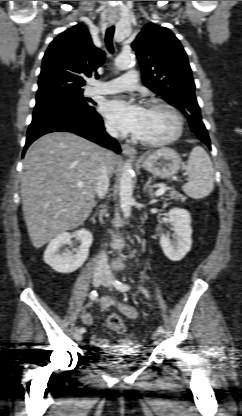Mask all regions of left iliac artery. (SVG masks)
Returning <instances> with one entry per match:
<instances>
[{
  "instance_id": "1",
  "label": "left iliac artery",
  "mask_w": 242,
  "mask_h": 416,
  "mask_svg": "<svg viewBox=\"0 0 242 416\" xmlns=\"http://www.w3.org/2000/svg\"><path fill=\"white\" fill-rule=\"evenodd\" d=\"M113 284L118 290H120L122 292L128 291L130 289L129 285H127L125 283H122L121 281H118V280H114ZM142 292L145 294L146 297H149V295H148V293L145 289H142ZM158 332L160 334H163L164 333V328L162 326L158 327Z\"/></svg>"
}]
</instances>
